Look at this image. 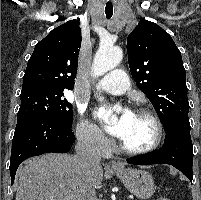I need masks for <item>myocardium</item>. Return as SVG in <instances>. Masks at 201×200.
Here are the masks:
<instances>
[{
    "label": "myocardium",
    "instance_id": "f54148a6",
    "mask_svg": "<svg viewBox=\"0 0 201 200\" xmlns=\"http://www.w3.org/2000/svg\"><path fill=\"white\" fill-rule=\"evenodd\" d=\"M133 113L138 114V115H144L152 120V122L154 123L155 128H156L155 139L150 145H148L144 148H139V149L130 148V147L126 146L122 140H120V143H119L120 148L123 152H125L127 154H131V155H143V154L151 153L154 150H156L163 141V138H164L163 123H162L160 117L149 108L137 107L134 109Z\"/></svg>",
    "mask_w": 201,
    "mask_h": 200
}]
</instances>
